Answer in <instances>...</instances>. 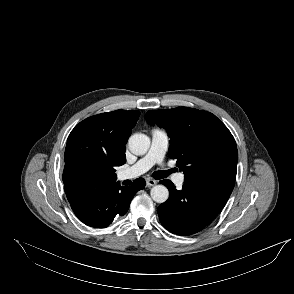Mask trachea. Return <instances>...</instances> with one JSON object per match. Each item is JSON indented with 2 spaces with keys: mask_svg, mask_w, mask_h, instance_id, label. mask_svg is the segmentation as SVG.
<instances>
[{
  "mask_svg": "<svg viewBox=\"0 0 294 294\" xmlns=\"http://www.w3.org/2000/svg\"><path fill=\"white\" fill-rule=\"evenodd\" d=\"M168 174H169L168 171H156L153 173V177L155 179H163V178L167 177Z\"/></svg>",
  "mask_w": 294,
  "mask_h": 294,
  "instance_id": "obj_1",
  "label": "trachea"
}]
</instances>
